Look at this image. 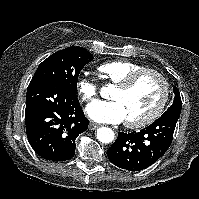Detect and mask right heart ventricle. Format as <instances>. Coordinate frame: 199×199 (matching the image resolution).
Instances as JSON below:
<instances>
[{
	"mask_svg": "<svg viewBox=\"0 0 199 199\" xmlns=\"http://www.w3.org/2000/svg\"><path fill=\"white\" fill-rule=\"evenodd\" d=\"M144 67L128 60H113L101 64L98 71L103 78L112 84H118L126 79L130 74L143 69Z\"/></svg>",
	"mask_w": 199,
	"mask_h": 199,
	"instance_id": "e07e8e85",
	"label": "right heart ventricle"
}]
</instances>
